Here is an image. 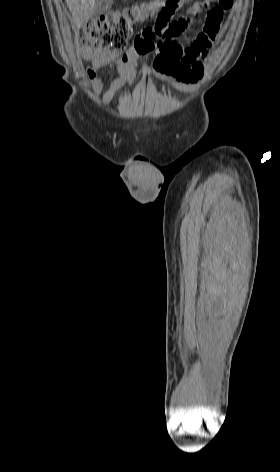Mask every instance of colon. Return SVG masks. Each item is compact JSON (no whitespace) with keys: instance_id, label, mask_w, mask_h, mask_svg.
Returning a JSON list of instances; mask_svg holds the SVG:
<instances>
[{"instance_id":"colon-1","label":"colon","mask_w":280,"mask_h":472,"mask_svg":"<svg viewBox=\"0 0 280 472\" xmlns=\"http://www.w3.org/2000/svg\"><path fill=\"white\" fill-rule=\"evenodd\" d=\"M183 2V0H150L140 6L101 15L85 24L80 41L116 57L125 50L136 23L150 19H156L160 23L168 22ZM232 3L233 0H218L216 6L209 8L206 23L211 25L220 23L223 12L228 10Z\"/></svg>"}]
</instances>
